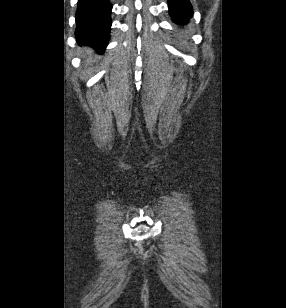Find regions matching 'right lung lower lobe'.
Masks as SVG:
<instances>
[{
    "label": "right lung lower lobe",
    "mask_w": 286,
    "mask_h": 308,
    "mask_svg": "<svg viewBox=\"0 0 286 308\" xmlns=\"http://www.w3.org/2000/svg\"><path fill=\"white\" fill-rule=\"evenodd\" d=\"M112 5L109 0H78L76 39L103 53L111 28Z\"/></svg>",
    "instance_id": "obj_1"
}]
</instances>
